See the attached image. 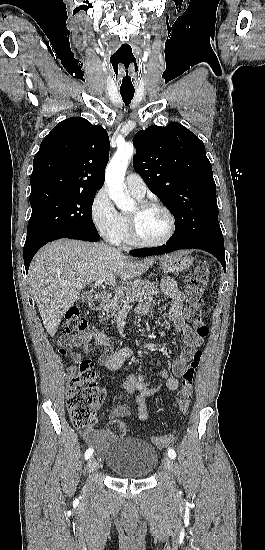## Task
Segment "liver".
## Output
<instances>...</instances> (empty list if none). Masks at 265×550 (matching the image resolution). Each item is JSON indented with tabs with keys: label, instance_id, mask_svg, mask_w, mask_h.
Returning <instances> with one entry per match:
<instances>
[{
	"label": "liver",
	"instance_id": "liver-1",
	"mask_svg": "<svg viewBox=\"0 0 265 550\" xmlns=\"http://www.w3.org/2000/svg\"><path fill=\"white\" fill-rule=\"evenodd\" d=\"M154 259L132 260L104 243L60 239L44 246L34 257L29 280L44 327L53 337L81 289L98 279L116 286L146 272ZM121 290V289H120Z\"/></svg>",
	"mask_w": 265,
	"mask_h": 550
}]
</instances>
